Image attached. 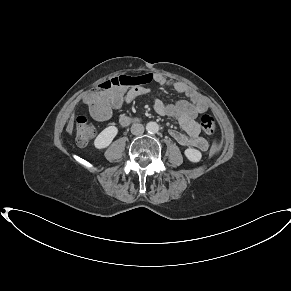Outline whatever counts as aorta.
Wrapping results in <instances>:
<instances>
[{
	"label": "aorta",
	"instance_id": "1",
	"mask_svg": "<svg viewBox=\"0 0 291 291\" xmlns=\"http://www.w3.org/2000/svg\"><path fill=\"white\" fill-rule=\"evenodd\" d=\"M146 129L149 133H157L159 131V125L156 122H149L146 125Z\"/></svg>",
	"mask_w": 291,
	"mask_h": 291
}]
</instances>
